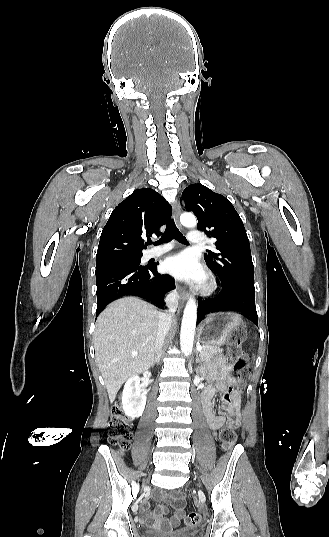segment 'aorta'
<instances>
[{
    "mask_svg": "<svg viewBox=\"0 0 329 537\" xmlns=\"http://www.w3.org/2000/svg\"><path fill=\"white\" fill-rule=\"evenodd\" d=\"M180 222L186 227H194L197 222L193 214L184 213L180 217ZM197 320V305L193 297H190L186 303L180 332L181 351L185 356L192 352L194 333Z\"/></svg>",
    "mask_w": 329,
    "mask_h": 537,
    "instance_id": "obj_1",
    "label": "aorta"
}]
</instances>
